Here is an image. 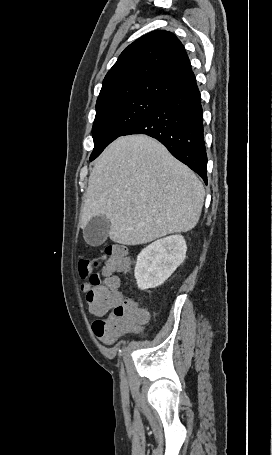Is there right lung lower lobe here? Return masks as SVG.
Here are the masks:
<instances>
[{
  "mask_svg": "<svg viewBox=\"0 0 272 455\" xmlns=\"http://www.w3.org/2000/svg\"><path fill=\"white\" fill-rule=\"evenodd\" d=\"M146 134L159 140L178 160L207 184V154L203 138L201 96L195 83L126 129L120 136Z\"/></svg>",
  "mask_w": 272,
  "mask_h": 455,
  "instance_id": "right-lung-lower-lobe-1",
  "label": "right lung lower lobe"
}]
</instances>
